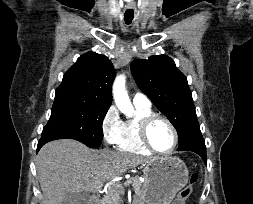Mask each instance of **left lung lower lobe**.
Here are the masks:
<instances>
[{"label": "left lung lower lobe", "instance_id": "left-lung-lower-lobe-1", "mask_svg": "<svg viewBox=\"0 0 253 204\" xmlns=\"http://www.w3.org/2000/svg\"><path fill=\"white\" fill-rule=\"evenodd\" d=\"M177 150L195 152L203 159L204 163L207 165L206 146L198 123L192 125L186 136L185 142L181 143Z\"/></svg>", "mask_w": 253, "mask_h": 204}]
</instances>
